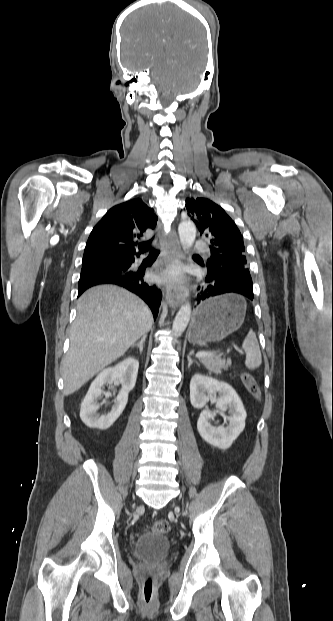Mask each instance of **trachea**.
<instances>
[{
  "mask_svg": "<svg viewBox=\"0 0 333 621\" xmlns=\"http://www.w3.org/2000/svg\"><path fill=\"white\" fill-rule=\"evenodd\" d=\"M147 245H148L149 247H151V243H150V242H148V243H147ZM150 254H151V255H156V254H158V250H156V249H154V248H152V247H151Z\"/></svg>",
  "mask_w": 333,
  "mask_h": 621,
  "instance_id": "trachea-1",
  "label": "trachea"
}]
</instances>
